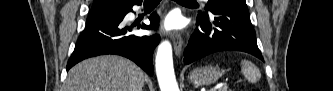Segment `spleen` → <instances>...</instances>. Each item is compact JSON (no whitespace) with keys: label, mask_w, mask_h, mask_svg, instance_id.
<instances>
[{"label":"spleen","mask_w":333,"mask_h":91,"mask_svg":"<svg viewBox=\"0 0 333 91\" xmlns=\"http://www.w3.org/2000/svg\"><path fill=\"white\" fill-rule=\"evenodd\" d=\"M241 72L250 83H256L261 77L259 69L248 60L241 61Z\"/></svg>","instance_id":"obj_1"}]
</instances>
